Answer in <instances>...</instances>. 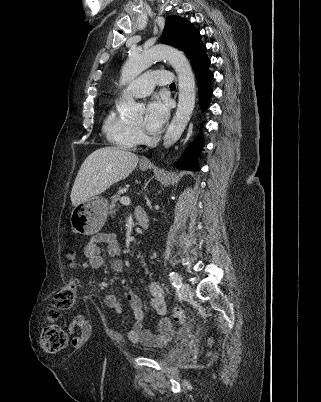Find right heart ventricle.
<instances>
[{
    "label": "right heart ventricle",
    "mask_w": 321,
    "mask_h": 402,
    "mask_svg": "<svg viewBox=\"0 0 321 402\" xmlns=\"http://www.w3.org/2000/svg\"><path fill=\"white\" fill-rule=\"evenodd\" d=\"M103 132L112 145L121 149H134L139 143L135 127L120 117L113 109L106 114Z\"/></svg>",
    "instance_id": "1"
}]
</instances>
